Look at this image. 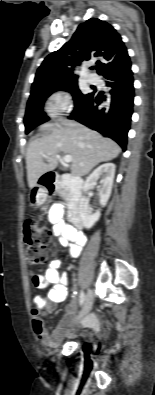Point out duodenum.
<instances>
[{
    "mask_svg": "<svg viewBox=\"0 0 155 395\" xmlns=\"http://www.w3.org/2000/svg\"><path fill=\"white\" fill-rule=\"evenodd\" d=\"M43 187L50 193L65 191L68 202V215L70 221L77 227H82L80 204L82 199L84 181L80 177L60 175L49 172L42 177Z\"/></svg>",
    "mask_w": 155,
    "mask_h": 395,
    "instance_id": "obj_1",
    "label": "duodenum"
}]
</instances>
